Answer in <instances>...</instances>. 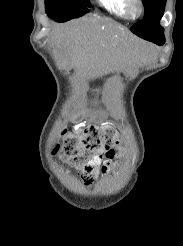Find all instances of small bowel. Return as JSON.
I'll list each match as a JSON object with an SVG mask.
<instances>
[{
    "label": "small bowel",
    "mask_w": 183,
    "mask_h": 246,
    "mask_svg": "<svg viewBox=\"0 0 183 246\" xmlns=\"http://www.w3.org/2000/svg\"><path fill=\"white\" fill-rule=\"evenodd\" d=\"M103 161V151L96 153L80 171L84 185L90 186L98 176V168Z\"/></svg>",
    "instance_id": "1"
}]
</instances>
